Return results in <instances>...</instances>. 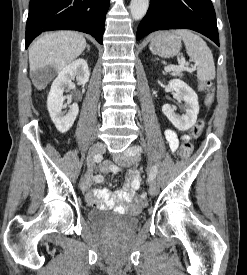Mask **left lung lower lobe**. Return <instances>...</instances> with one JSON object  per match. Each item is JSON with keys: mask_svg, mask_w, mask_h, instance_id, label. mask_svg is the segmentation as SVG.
<instances>
[{"mask_svg": "<svg viewBox=\"0 0 247 275\" xmlns=\"http://www.w3.org/2000/svg\"><path fill=\"white\" fill-rule=\"evenodd\" d=\"M186 28L210 38L219 46L216 15L211 0H150L137 30V40L156 30Z\"/></svg>", "mask_w": 247, "mask_h": 275, "instance_id": "0a47b994", "label": "left lung lower lobe"}]
</instances>
